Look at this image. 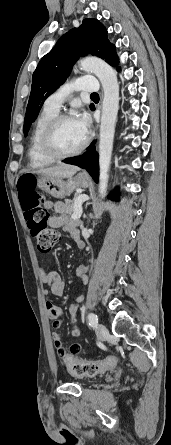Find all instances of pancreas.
I'll return each instance as SVG.
<instances>
[{
    "label": "pancreas",
    "instance_id": "pancreas-1",
    "mask_svg": "<svg viewBox=\"0 0 171 445\" xmlns=\"http://www.w3.org/2000/svg\"><path fill=\"white\" fill-rule=\"evenodd\" d=\"M78 197H75L72 200H66L65 203L63 202H56L54 205V210L58 214H69L71 215L72 212L75 209V201Z\"/></svg>",
    "mask_w": 171,
    "mask_h": 445
}]
</instances>
